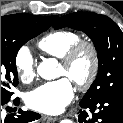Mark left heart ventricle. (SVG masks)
I'll list each match as a JSON object with an SVG mask.
<instances>
[{"instance_id":"left-heart-ventricle-1","label":"left heart ventricle","mask_w":123,"mask_h":123,"mask_svg":"<svg viewBox=\"0 0 123 123\" xmlns=\"http://www.w3.org/2000/svg\"><path fill=\"white\" fill-rule=\"evenodd\" d=\"M91 59L88 53H82L70 70L60 66V75L69 77L72 81L82 80L90 70Z\"/></svg>"}]
</instances>
